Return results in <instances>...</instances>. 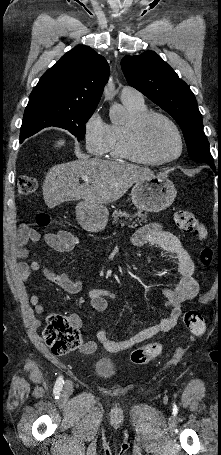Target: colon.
Segmentation results:
<instances>
[{
	"mask_svg": "<svg viewBox=\"0 0 221 455\" xmlns=\"http://www.w3.org/2000/svg\"><path fill=\"white\" fill-rule=\"evenodd\" d=\"M37 188L38 181L36 178L21 176L18 180L17 192L21 196L30 195ZM175 222L183 232L195 234L202 239L206 238V229L194 213L179 211L175 215ZM35 223L38 227H46L50 223V218L47 214L39 213L36 215ZM200 259L204 265H209L213 259L212 249H203ZM183 321L193 335L200 336L205 332V320L199 311H186ZM43 336L50 349L58 354L72 351L81 344V335L78 328L72 323L70 317L61 314H52L49 316ZM161 352L162 344L153 342L135 349L131 354V360L135 364H146Z\"/></svg>",
	"mask_w": 221,
	"mask_h": 455,
	"instance_id": "colon-1",
	"label": "colon"
}]
</instances>
